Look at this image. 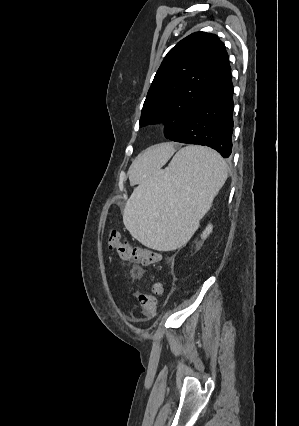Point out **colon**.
Returning <instances> with one entry per match:
<instances>
[{"instance_id":"colon-1","label":"colon","mask_w":299,"mask_h":426,"mask_svg":"<svg viewBox=\"0 0 299 426\" xmlns=\"http://www.w3.org/2000/svg\"><path fill=\"white\" fill-rule=\"evenodd\" d=\"M108 247L110 250H115L122 261H135L144 266L153 265L161 258V255L153 249L131 245L115 229L109 233ZM162 291V284L155 282L147 291L138 295L141 313L145 318L151 319L156 315L158 296Z\"/></svg>"}]
</instances>
